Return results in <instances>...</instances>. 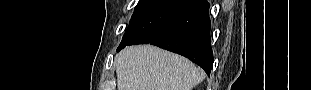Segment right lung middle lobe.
<instances>
[{
  "instance_id": "1",
  "label": "right lung middle lobe",
  "mask_w": 311,
  "mask_h": 90,
  "mask_svg": "<svg viewBox=\"0 0 311 90\" xmlns=\"http://www.w3.org/2000/svg\"><path fill=\"white\" fill-rule=\"evenodd\" d=\"M191 0H139L120 45L131 43L170 20Z\"/></svg>"
}]
</instances>
